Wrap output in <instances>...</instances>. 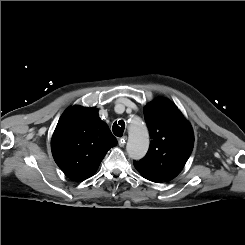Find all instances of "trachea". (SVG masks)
<instances>
[{
    "label": "trachea",
    "instance_id": "trachea-1",
    "mask_svg": "<svg viewBox=\"0 0 245 245\" xmlns=\"http://www.w3.org/2000/svg\"><path fill=\"white\" fill-rule=\"evenodd\" d=\"M124 129H125V122L123 120L118 121V123L117 121L114 122L112 130L116 136L121 137L123 135Z\"/></svg>",
    "mask_w": 245,
    "mask_h": 245
}]
</instances>
